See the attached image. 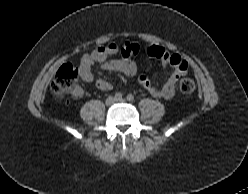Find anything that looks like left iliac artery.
I'll return each instance as SVG.
<instances>
[{
  "instance_id": "obj_1",
  "label": "left iliac artery",
  "mask_w": 248,
  "mask_h": 194,
  "mask_svg": "<svg viewBox=\"0 0 248 194\" xmlns=\"http://www.w3.org/2000/svg\"><path fill=\"white\" fill-rule=\"evenodd\" d=\"M126 98L129 102H132L134 100V96L132 94H128Z\"/></svg>"
}]
</instances>
